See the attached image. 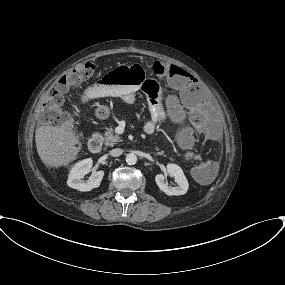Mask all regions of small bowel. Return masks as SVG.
<instances>
[{"label":"small bowel","instance_id":"obj_1","mask_svg":"<svg viewBox=\"0 0 285 285\" xmlns=\"http://www.w3.org/2000/svg\"><path fill=\"white\" fill-rule=\"evenodd\" d=\"M186 85H187V78L185 75H181L178 81V86L184 88ZM140 86H141L140 83H137L135 85H124L120 87L109 88L97 84L86 90L83 96L81 97L80 101L92 100L101 96H116L120 97L127 104H133L136 99V93L140 90ZM147 102H148L150 118L144 125L143 132L145 134L150 135L153 134L154 131L156 130V125L159 120L160 100L159 98L155 99L147 97ZM168 108L174 118H176L177 120L181 119L180 108L176 103L172 101L168 102ZM205 135L208 139L211 140L216 139L215 135L211 132H207ZM188 138L191 139L192 136L188 134Z\"/></svg>","mask_w":285,"mask_h":285}]
</instances>
